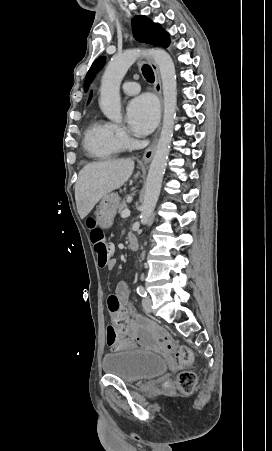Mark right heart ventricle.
Wrapping results in <instances>:
<instances>
[{
    "instance_id": "right-heart-ventricle-1",
    "label": "right heart ventricle",
    "mask_w": 272,
    "mask_h": 451,
    "mask_svg": "<svg viewBox=\"0 0 272 451\" xmlns=\"http://www.w3.org/2000/svg\"><path fill=\"white\" fill-rule=\"evenodd\" d=\"M87 150L97 158H109L118 150L116 141L109 126L96 122L88 130L85 138Z\"/></svg>"
}]
</instances>
